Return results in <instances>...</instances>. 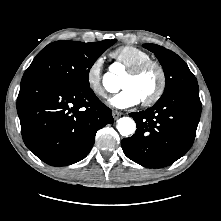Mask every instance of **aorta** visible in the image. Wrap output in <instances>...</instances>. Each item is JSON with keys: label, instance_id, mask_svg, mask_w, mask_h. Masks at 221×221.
Returning <instances> with one entry per match:
<instances>
[{"label": "aorta", "instance_id": "1", "mask_svg": "<svg viewBox=\"0 0 221 221\" xmlns=\"http://www.w3.org/2000/svg\"><path fill=\"white\" fill-rule=\"evenodd\" d=\"M118 71L112 68L109 73L104 76L103 84L106 89L113 91L114 89H119L118 82L119 78L117 76ZM136 129V124L132 118L123 117L117 122V130L122 136H129L134 133Z\"/></svg>", "mask_w": 221, "mask_h": 221}]
</instances>
